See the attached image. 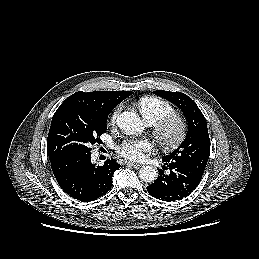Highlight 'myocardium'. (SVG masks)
Returning <instances> with one entry per match:
<instances>
[{"mask_svg":"<svg viewBox=\"0 0 259 259\" xmlns=\"http://www.w3.org/2000/svg\"><path fill=\"white\" fill-rule=\"evenodd\" d=\"M171 129L174 132L171 133ZM188 124L177 113L167 114L153 124V135L158 144L165 150H173L179 147L186 139Z\"/></svg>","mask_w":259,"mask_h":259,"instance_id":"obj_1","label":"myocardium"}]
</instances>
